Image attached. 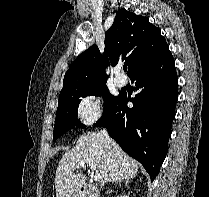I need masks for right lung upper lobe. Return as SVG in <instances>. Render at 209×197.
Instances as JSON below:
<instances>
[{
	"instance_id": "obj_1",
	"label": "right lung upper lobe",
	"mask_w": 209,
	"mask_h": 197,
	"mask_svg": "<svg viewBox=\"0 0 209 197\" xmlns=\"http://www.w3.org/2000/svg\"><path fill=\"white\" fill-rule=\"evenodd\" d=\"M165 38L147 17L119 9L105 34L102 56L97 45L79 55L66 72L63 88L106 82L105 68L119 62L128 65V76L148 66L168 51Z\"/></svg>"
}]
</instances>
